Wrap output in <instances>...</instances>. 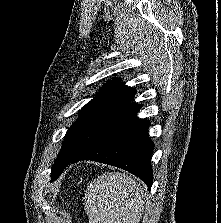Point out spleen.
Masks as SVG:
<instances>
[{
  "instance_id": "obj_1",
  "label": "spleen",
  "mask_w": 221,
  "mask_h": 223,
  "mask_svg": "<svg viewBox=\"0 0 221 223\" xmlns=\"http://www.w3.org/2000/svg\"><path fill=\"white\" fill-rule=\"evenodd\" d=\"M144 190L132 177L108 172L90 182L84 196L89 223H139Z\"/></svg>"
}]
</instances>
